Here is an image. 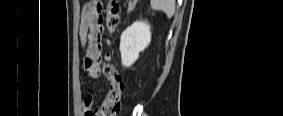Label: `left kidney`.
Instances as JSON below:
<instances>
[{
    "mask_svg": "<svg viewBox=\"0 0 283 116\" xmlns=\"http://www.w3.org/2000/svg\"><path fill=\"white\" fill-rule=\"evenodd\" d=\"M151 41L150 25L136 21L120 37L121 61L124 67H130L139 57V53L148 47Z\"/></svg>",
    "mask_w": 283,
    "mask_h": 116,
    "instance_id": "left-kidney-1",
    "label": "left kidney"
}]
</instances>
